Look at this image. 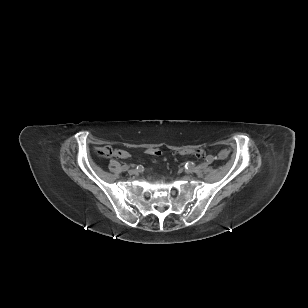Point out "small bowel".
I'll return each instance as SVG.
<instances>
[{"label":"small bowel","instance_id":"1","mask_svg":"<svg viewBox=\"0 0 308 308\" xmlns=\"http://www.w3.org/2000/svg\"><path fill=\"white\" fill-rule=\"evenodd\" d=\"M220 159H225L228 156V151L227 150H221L218 154Z\"/></svg>","mask_w":308,"mask_h":308}]
</instances>
